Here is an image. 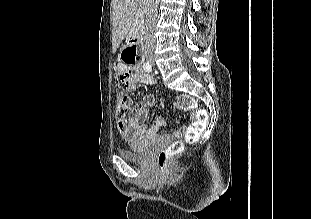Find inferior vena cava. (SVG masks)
Segmentation results:
<instances>
[{
	"mask_svg": "<svg viewBox=\"0 0 311 219\" xmlns=\"http://www.w3.org/2000/svg\"><path fill=\"white\" fill-rule=\"evenodd\" d=\"M143 3V12L145 14V35L142 50L153 51L155 48L154 29L157 19V8L154 0H141Z\"/></svg>",
	"mask_w": 311,
	"mask_h": 219,
	"instance_id": "inferior-vena-cava-1",
	"label": "inferior vena cava"
}]
</instances>
